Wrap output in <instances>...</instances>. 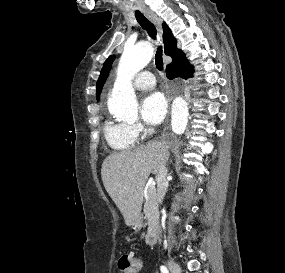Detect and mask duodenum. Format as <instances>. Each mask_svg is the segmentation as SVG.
I'll return each instance as SVG.
<instances>
[{
	"label": "duodenum",
	"mask_w": 285,
	"mask_h": 273,
	"mask_svg": "<svg viewBox=\"0 0 285 273\" xmlns=\"http://www.w3.org/2000/svg\"><path fill=\"white\" fill-rule=\"evenodd\" d=\"M159 233V225L156 221L152 222L149 231L146 234V244L153 245L156 242Z\"/></svg>",
	"instance_id": "obj_1"
}]
</instances>
